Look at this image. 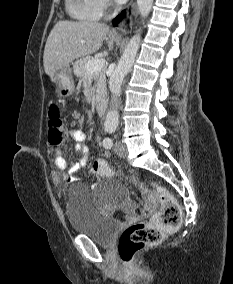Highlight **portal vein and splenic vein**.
Listing matches in <instances>:
<instances>
[{
  "label": "portal vein and splenic vein",
  "instance_id": "1",
  "mask_svg": "<svg viewBox=\"0 0 233 284\" xmlns=\"http://www.w3.org/2000/svg\"><path fill=\"white\" fill-rule=\"evenodd\" d=\"M105 65V59H95L87 63V68L90 72L101 70Z\"/></svg>",
  "mask_w": 233,
  "mask_h": 284
}]
</instances>
